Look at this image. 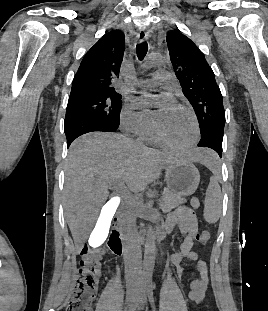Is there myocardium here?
I'll return each instance as SVG.
<instances>
[{
    "label": "myocardium",
    "instance_id": "1",
    "mask_svg": "<svg viewBox=\"0 0 268 311\" xmlns=\"http://www.w3.org/2000/svg\"><path fill=\"white\" fill-rule=\"evenodd\" d=\"M176 107L185 111L190 116L192 123H193V129H194L192 138L184 144H177V143H173V142L168 141L167 139H165L161 135L159 128H158L157 119L154 122V134H155L157 140L161 144H163L167 147L176 149V150L185 151V150L192 148L197 143V141L199 139V135H200L199 122H198L197 116L195 115L194 111L191 108H189L188 106L183 105V104H177Z\"/></svg>",
    "mask_w": 268,
    "mask_h": 311
}]
</instances>
